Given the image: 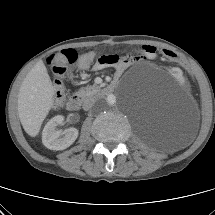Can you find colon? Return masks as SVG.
Wrapping results in <instances>:
<instances>
[{
    "instance_id": "colon-1",
    "label": "colon",
    "mask_w": 215,
    "mask_h": 215,
    "mask_svg": "<svg viewBox=\"0 0 215 215\" xmlns=\"http://www.w3.org/2000/svg\"><path fill=\"white\" fill-rule=\"evenodd\" d=\"M160 54L167 60L177 62L180 65L184 64V70L190 72L192 66L190 63H188L187 57H182L181 54L176 53L170 49H162ZM92 59L93 53H86L79 58L78 53L74 49H65L47 57L48 65L52 68V71L57 76L54 82L56 105H61L64 99L65 87L60 77L66 72L67 66L79 60V62L75 64L74 69L77 74L82 75L85 73L86 69L90 67ZM192 79H194V77Z\"/></svg>"
}]
</instances>
